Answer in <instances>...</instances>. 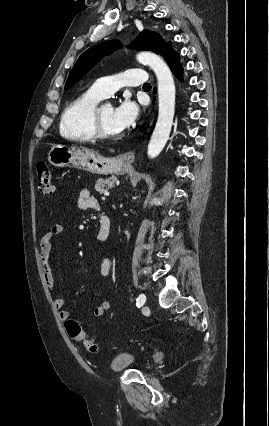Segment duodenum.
Returning <instances> with one entry per match:
<instances>
[{
    "label": "duodenum",
    "mask_w": 269,
    "mask_h": 426,
    "mask_svg": "<svg viewBox=\"0 0 269 426\" xmlns=\"http://www.w3.org/2000/svg\"><path fill=\"white\" fill-rule=\"evenodd\" d=\"M112 233V220L104 212L100 215V230L97 234L99 241H106Z\"/></svg>",
    "instance_id": "410a0bca"
}]
</instances>
